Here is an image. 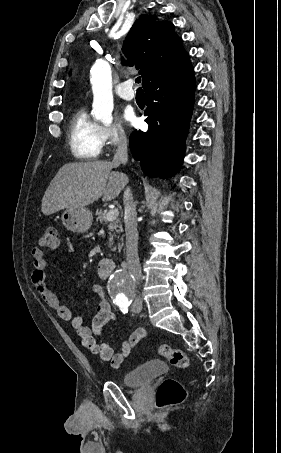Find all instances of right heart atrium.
<instances>
[{"label":"right heart atrium","mask_w":281,"mask_h":453,"mask_svg":"<svg viewBox=\"0 0 281 453\" xmlns=\"http://www.w3.org/2000/svg\"><path fill=\"white\" fill-rule=\"evenodd\" d=\"M103 133L105 141L110 147L121 145L127 138V132L119 122L103 126Z\"/></svg>","instance_id":"obj_1"}]
</instances>
